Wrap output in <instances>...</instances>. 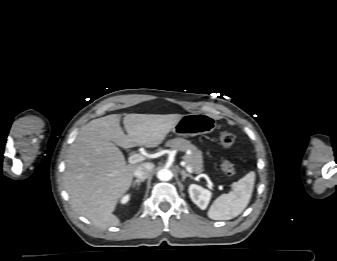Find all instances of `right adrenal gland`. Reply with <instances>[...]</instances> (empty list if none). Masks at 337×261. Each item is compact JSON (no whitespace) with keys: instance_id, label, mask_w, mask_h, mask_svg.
<instances>
[{"instance_id":"2a0ac1e0","label":"right adrenal gland","mask_w":337,"mask_h":261,"mask_svg":"<svg viewBox=\"0 0 337 261\" xmlns=\"http://www.w3.org/2000/svg\"><path fill=\"white\" fill-rule=\"evenodd\" d=\"M144 181H145V179H137L132 183V187H135V185H137L138 189H139L140 183L144 182Z\"/></svg>"}]
</instances>
